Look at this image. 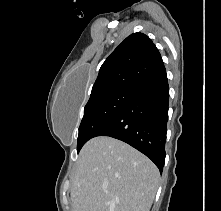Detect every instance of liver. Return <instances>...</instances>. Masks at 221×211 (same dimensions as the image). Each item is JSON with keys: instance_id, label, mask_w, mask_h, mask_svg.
<instances>
[{"instance_id": "obj_1", "label": "liver", "mask_w": 221, "mask_h": 211, "mask_svg": "<svg viewBox=\"0 0 221 211\" xmlns=\"http://www.w3.org/2000/svg\"><path fill=\"white\" fill-rule=\"evenodd\" d=\"M155 164L106 136L81 149L71 186L73 211H150L158 184Z\"/></svg>"}]
</instances>
